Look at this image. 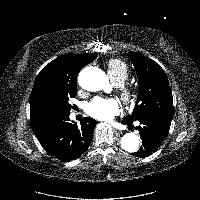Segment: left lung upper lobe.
<instances>
[{
	"instance_id": "left-lung-upper-lobe-1",
	"label": "left lung upper lobe",
	"mask_w": 200,
	"mask_h": 200,
	"mask_svg": "<svg viewBox=\"0 0 200 200\" xmlns=\"http://www.w3.org/2000/svg\"><path fill=\"white\" fill-rule=\"evenodd\" d=\"M129 56L139 78V90L135 109L125 119L135 121L154 115L162 120H172L173 98L163 69L138 52L129 53Z\"/></svg>"
}]
</instances>
